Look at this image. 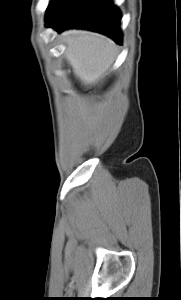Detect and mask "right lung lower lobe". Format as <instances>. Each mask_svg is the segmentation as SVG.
I'll use <instances>...</instances> for the list:
<instances>
[{
	"label": "right lung lower lobe",
	"mask_w": 181,
	"mask_h": 300,
	"mask_svg": "<svg viewBox=\"0 0 181 300\" xmlns=\"http://www.w3.org/2000/svg\"><path fill=\"white\" fill-rule=\"evenodd\" d=\"M47 27L58 32L67 28H83L111 37L122 43L119 10L112 0H65L46 16Z\"/></svg>",
	"instance_id": "obj_1"
}]
</instances>
